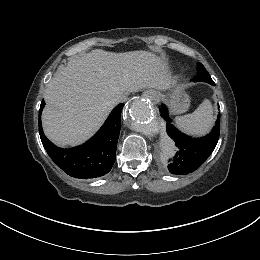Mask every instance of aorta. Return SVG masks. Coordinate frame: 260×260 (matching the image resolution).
<instances>
[{"label": "aorta", "mask_w": 260, "mask_h": 260, "mask_svg": "<svg viewBox=\"0 0 260 260\" xmlns=\"http://www.w3.org/2000/svg\"><path fill=\"white\" fill-rule=\"evenodd\" d=\"M154 114L151 105L142 98L134 99L128 107L126 122L134 131L144 135L155 133ZM171 146L173 143L168 139Z\"/></svg>", "instance_id": "762f6f07"}]
</instances>
